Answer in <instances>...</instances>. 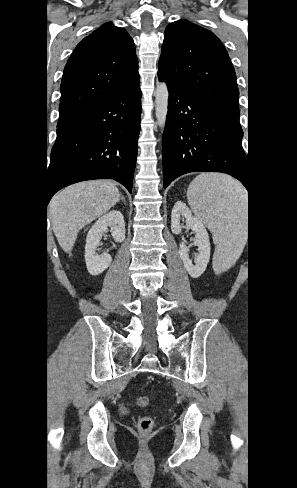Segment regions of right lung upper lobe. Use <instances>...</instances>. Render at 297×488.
I'll list each match as a JSON object with an SVG mask.
<instances>
[{
	"label": "right lung upper lobe",
	"mask_w": 297,
	"mask_h": 488,
	"mask_svg": "<svg viewBox=\"0 0 297 488\" xmlns=\"http://www.w3.org/2000/svg\"><path fill=\"white\" fill-rule=\"evenodd\" d=\"M139 78L133 40L123 29L106 23L85 37L64 69L60 86L59 122L109 97Z\"/></svg>",
	"instance_id": "obj_1"
}]
</instances>
